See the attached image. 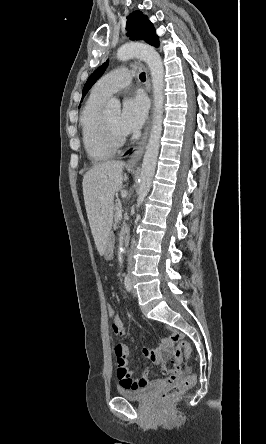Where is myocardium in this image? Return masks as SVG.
I'll use <instances>...</instances> for the list:
<instances>
[{"label": "myocardium", "instance_id": "obj_1", "mask_svg": "<svg viewBox=\"0 0 266 444\" xmlns=\"http://www.w3.org/2000/svg\"><path fill=\"white\" fill-rule=\"evenodd\" d=\"M100 135L104 142L114 149L120 148L126 143V135L117 136L112 132L105 113H102L100 119Z\"/></svg>", "mask_w": 266, "mask_h": 444}]
</instances>
